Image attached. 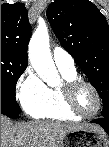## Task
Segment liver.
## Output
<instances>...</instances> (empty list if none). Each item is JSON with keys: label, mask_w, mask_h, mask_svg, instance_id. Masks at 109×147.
<instances>
[{"label": "liver", "mask_w": 109, "mask_h": 147, "mask_svg": "<svg viewBox=\"0 0 109 147\" xmlns=\"http://www.w3.org/2000/svg\"><path fill=\"white\" fill-rule=\"evenodd\" d=\"M88 129L104 130L94 124H74L48 121H30L13 124L1 116V147H60L70 131Z\"/></svg>", "instance_id": "liver-1"}]
</instances>
